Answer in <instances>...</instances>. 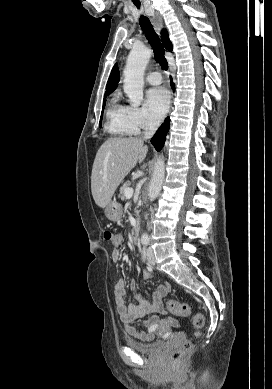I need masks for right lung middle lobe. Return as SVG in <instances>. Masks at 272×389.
<instances>
[{
  "label": "right lung middle lobe",
  "instance_id": "1",
  "mask_svg": "<svg viewBox=\"0 0 272 389\" xmlns=\"http://www.w3.org/2000/svg\"><path fill=\"white\" fill-rule=\"evenodd\" d=\"M108 94H105V96H104V102H103V110H104V107H105V101H106V96H107ZM103 110H102V113H103ZM100 127H101V125H102V115H101V120H100Z\"/></svg>",
  "mask_w": 272,
  "mask_h": 389
}]
</instances>
